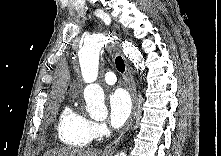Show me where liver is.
<instances>
[{"mask_svg": "<svg viewBox=\"0 0 221 156\" xmlns=\"http://www.w3.org/2000/svg\"><path fill=\"white\" fill-rule=\"evenodd\" d=\"M44 156H98V152L95 149L64 147L49 150Z\"/></svg>", "mask_w": 221, "mask_h": 156, "instance_id": "liver-1", "label": "liver"}]
</instances>
